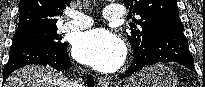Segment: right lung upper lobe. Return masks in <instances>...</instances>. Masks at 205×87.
I'll return each mask as SVG.
<instances>
[{"instance_id": "cb5924a9", "label": "right lung upper lobe", "mask_w": 205, "mask_h": 87, "mask_svg": "<svg viewBox=\"0 0 205 87\" xmlns=\"http://www.w3.org/2000/svg\"><path fill=\"white\" fill-rule=\"evenodd\" d=\"M71 0H21L16 32L57 28V17Z\"/></svg>"}]
</instances>
